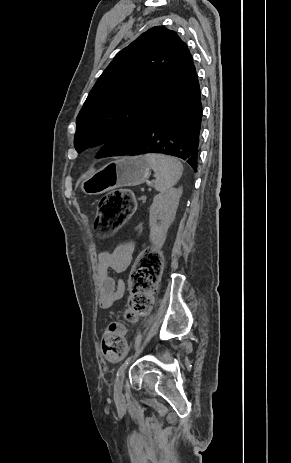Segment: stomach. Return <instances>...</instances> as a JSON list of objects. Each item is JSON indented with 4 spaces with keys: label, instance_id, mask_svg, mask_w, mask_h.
Instances as JSON below:
<instances>
[{
    "label": "stomach",
    "instance_id": "0dacf381",
    "mask_svg": "<svg viewBox=\"0 0 291 463\" xmlns=\"http://www.w3.org/2000/svg\"><path fill=\"white\" fill-rule=\"evenodd\" d=\"M150 176V165L143 156L123 157L82 178V191L98 195L119 187L140 185Z\"/></svg>",
    "mask_w": 291,
    "mask_h": 463
}]
</instances>
